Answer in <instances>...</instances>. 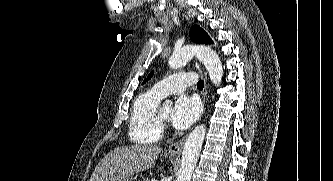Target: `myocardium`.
Masks as SVG:
<instances>
[{
  "label": "myocardium",
  "instance_id": "1",
  "mask_svg": "<svg viewBox=\"0 0 333 181\" xmlns=\"http://www.w3.org/2000/svg\"><path fill=\"white\" fill-rule=\"evenodd\" d=\"M160 109L161 107L158 106L156 112H155V117H156V120L158 122V124L163 127L166 125V120H164L162 117H161V114H160Z\"/></svg>",
  "mask_w": 333,
  "mask_h": 181
}]
</instances>
